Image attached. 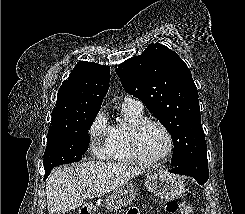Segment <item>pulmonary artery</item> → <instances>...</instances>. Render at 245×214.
Instances as JSON below:
<instances>
[{
	"label": "pulmonary artery",
	"instance_id": "pulmonary-artery-1",
	"mask_svg": "<svg viewBox=\"0 0 245 214\" xmlns=\"http://www.w3.org/2000/svg\"><path fill=\"white\" fill-rule=\"evenodd\" d=\"M123 102L124 103H131V104L135 105L136 107H138L139 109H143V103L140 100L133 98L131 96H126L124 98Z\"/></svg>",
	"mask_w": 245,
	"mask_h": 214
}]
</instances>
